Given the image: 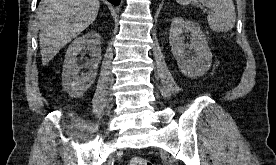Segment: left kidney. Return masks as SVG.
<instances>
[{"mask_svg": "<svg viewBox=\"0 0 276 165\" xmlns=\"http://www.w3.org/2000/svg\"><path fill=\"white\" fill-rule=\"evenodd\" d=\"M191 34L190 44L184 42L183 32ZM169 44L180 71L190 78L203 76L211 67L212 53L207 38L198 23L174 17L171 23ZM190 46L194 55L189 56L185 48Z\"/></svg>", "mask_w": 276, "mask_h": 165, "instance_id": "left-kidney-1", "label": "left kidney"}]
</instances>
